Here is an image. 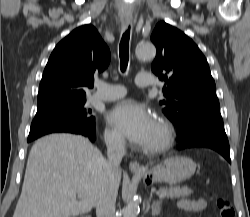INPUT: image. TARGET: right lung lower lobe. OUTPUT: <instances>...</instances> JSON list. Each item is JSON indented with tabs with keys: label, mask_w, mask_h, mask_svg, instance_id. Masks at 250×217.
<instances>
[{
	"label": "right lung lower lobe",
	"mask_w": 250,
	"mask_h": 217,
	"mask_svg": "<svg viewBox=\"0 0 250 217\" xmlns=\"http://www.w3.org/2000/svg\"><path fill=\"white\" fill-rule=\"evenodd\" d=\"M86 137H88L91 141H94L96 139V134H89V135H85Z\"/></svg>",
	"instance_id": "obj_1"
}]
</instances>
